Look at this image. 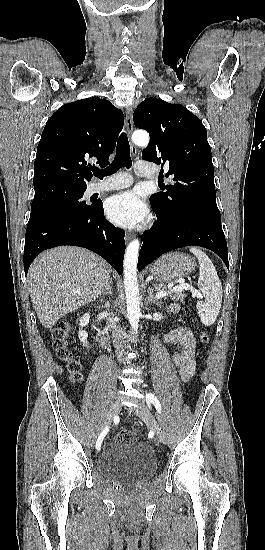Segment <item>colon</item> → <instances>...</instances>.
<instances>
[{"mask_svg": "<svg viewBox=\"0 0 265 550\" xmlns=\"http://www.w3.org/2000/svg\"><path fill=\"white\" fill-rule=\"evenodd\" d=\"M74 334V327L70 319H63L57 322L53 331L54 348L59 359L68 363L71 379L77 382L81 379V365L73 359L72 351L69 347L71 336ZM201 342L205 345L209 337L205 332L201 333ZM137 440L135 433L129 430H120L114 436V441L119 444H134Z\"/></svg>", "mask_w": 265, "mask_h": 550, "instance_id": "1", "label": "colon"}]
</instances>
